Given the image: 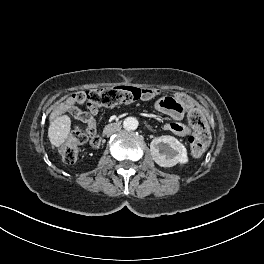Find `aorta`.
I'll use <instances>...</instances> for the list:
<instances>
[{"instance_id": "aorta-1", "label": "aorta", "mask_w": 264, "mask_h": 264, "mask_svg": "<svg viewBox=\"0 0 264 264\" xmlns=\"http://www.w3.org/2000/svg\"><path fill=\"white\" fill-rule=\"evenodd\" d=\"M123 127L126 130H136L138 127V120L134 117H127L123 121Z\"/></svg>"}]
</instances>
